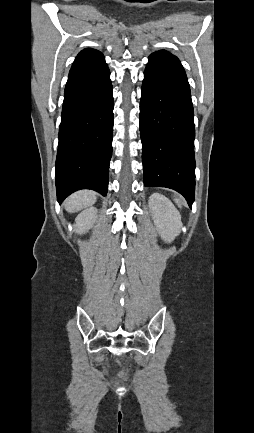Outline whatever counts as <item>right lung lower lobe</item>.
Here are the masks:
<instances>
[{
    "label": "right lung lower lobe",
    "instance_id": "obj_1",
    "mask_svg": "<svg viewBox=\"0 0 254 433\" xmlns=\"http://www.w3.org/2000/svg\"><path fill=\"white\" fill-rule=\"evenodd\" d=\"M110 72L101 58L71 68L65 87L56 159L57 200L80 189L108 190L113 108Z\"/></svg>",
    "mask_w": 254,
    "mask_h": 433
}]
</instances>
